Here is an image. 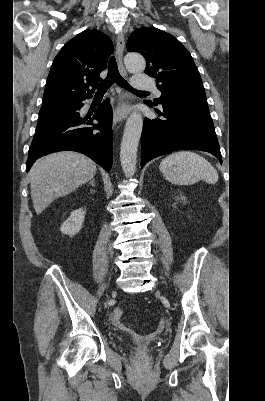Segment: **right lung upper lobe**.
<instances>
[{"label":"right lung upper lobe","instance_id":"1","mask_svg":"<svg viewBox=\"0 0 265 401\" xmlns=\"http://www.w3.org/2000/svg\"><path fill=\"white\" fill-rule=\"evenodd\" d=\"M113 52L111 39L97 30H85L60 50L51 66L42 105L82 101L92 97L89 86L101 81L100 72Z\"/></svg>","mask_w":265,"mask_h":401}]
</instances>
